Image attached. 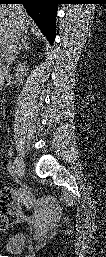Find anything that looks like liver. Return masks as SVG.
<instances>
[{"mask_svg": "<svg viewBox=\"0 0 106 257\" xmlns=\"http://www.w3.org/2000/svg\"><path fill=\"white\" fill-rule=\"evenodd\" d=\"M31 18L21 5H2L0 7V46H4L13 32L20 35L28 33Z\"/></svg>", "mask_w": 106, "mask_h": 257, "instance_id": "6515ba94", "label": "liver"}]
</instances>
